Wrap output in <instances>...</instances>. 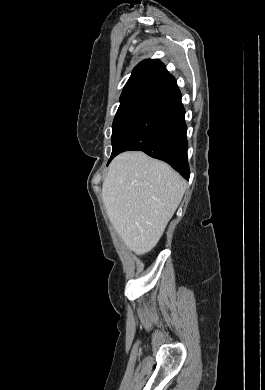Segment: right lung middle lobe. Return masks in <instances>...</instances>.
<instances>
[{
  "instance_id": "obj_1",
  "label": "right lung middle lobe",
  "mask_w": 265,
  "mask_h": 390,
  "mask_svg": "<svg viewBox=\"0 0 265 390\" xmlns=\"http://www.w3.org/2000/svg\"><path fill=\"white\" fill-rule=\"evenodd\" d=\"M154 100L149 98H132L120 101V106L115 115L112 125V154L126 128L133 120L143 112Z\"/></svg>"
}]
</instances>
